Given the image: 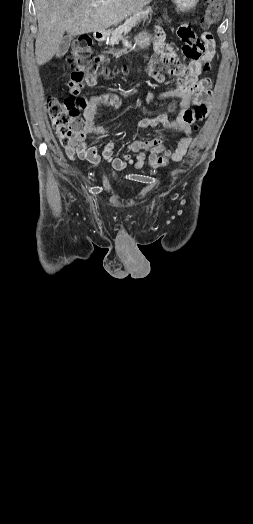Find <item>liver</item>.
Wrapping results in <instances>:
<instances>
[{"mask_svg":"<svg viewBox=\"0 0 253 524\" xmlns=\"http://www.w3.org/2000/svg\"><path fill=\"white\" fill-rule=\"evenodd\" d=\"M152 0H35L38 65L50 61L67 32L71 36L105 31L142 10ZM92 3L98 4L92 7Z\"/></svg>","mask_w":253,"mask_h":524,"instance_id":"1","label":"liver"}]
</instances>
